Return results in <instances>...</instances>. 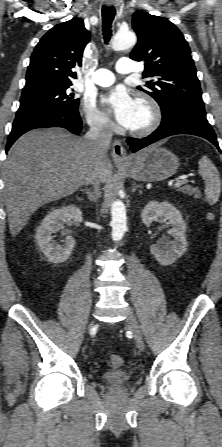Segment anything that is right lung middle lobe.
I'll use <instances>...</instances> for the list:
<instances>
[{
	"label": "right lung middle lobe",
	"mask_w": 222,
	"mask_h": 447,
	"mask_svg": "<svg viewBox=\"0 0 222 447\" xmlns=\"http://www.w3.org/2000/svg\"><path fill=\"white\" fill-rule=\"evenodd\" d=\"M67 85H47L23 89L14 124L64 110H78L79 100Z\"/></svg>",
	"instance_id": "dd1d6c3e"
}]
</instances>
